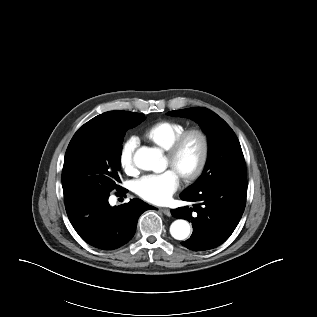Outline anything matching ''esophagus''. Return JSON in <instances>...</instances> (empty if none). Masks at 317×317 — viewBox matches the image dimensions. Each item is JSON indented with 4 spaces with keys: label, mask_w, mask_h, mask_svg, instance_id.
<instances>
[{
    "label": "esophagus",
    "mask_w": 317,
    "mask_h": 317,
    "mask_svg": "<svg viewBox=\"0 0 317 317\" xmlns=\"http://www.w3.org/2000/svg\"><path fill=\"white\" fill-rule=\"evenodd\" d=\"M160 211L164 213L166 216L170 217L171 216V211L168 208H161Z\"/></svg>",
    "instance_id": "1"
}]
</instances>
